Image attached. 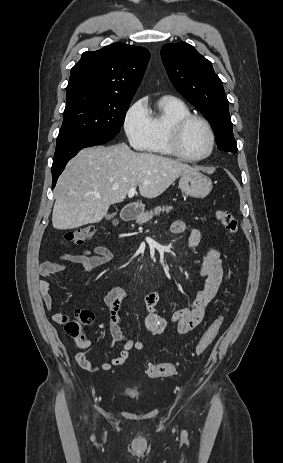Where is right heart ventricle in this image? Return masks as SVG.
<instances>
[{"label":"right heart ventricle","instance_id":"right-heart-ventricle-1","mask_svg":"<svg viewBox=\"0 0 283 463\" xmlns=\"http://www.w3.org/2000/svg\"><path fill=\"white\" fill-rule=\"evenodd\" d=\"M149 137L144 149L160 156H172L169 148V132L180 118L190 115L189 107L180 99L164 96L157 102L154 110H148Z\"/></svg>","mask_w":283,"mask_h":463}]
</instances>
